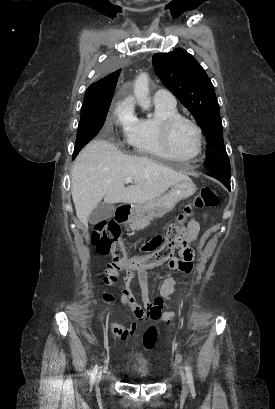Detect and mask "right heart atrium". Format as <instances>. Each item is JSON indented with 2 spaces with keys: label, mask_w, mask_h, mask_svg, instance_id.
Listing matches in <instances>:
<instances>
[{
  "label": "right heart atrium",
  "mask_w": 275,
  "mask_h": 409,
  "mask_svg": "<svg viewBox=\"0 0 275 409\" xmlns=\"http://www.w3.org/2000/svg\"><path fill=\"white\" fill-rule=\"evenodd\" d=\"M112 120L113 123L119 127L121 133L128 139L137 121L132 102L127 101L118 105L114 110Z\"/></svg>",
  "instance_id": "d8ad5b80"
}]
</instances>
